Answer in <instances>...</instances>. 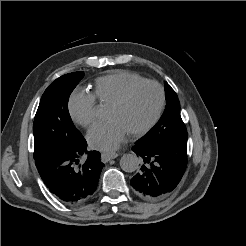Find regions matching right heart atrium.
<instances>
[{
	"label": "right heart atrium",
	"instance_id": "obj_1",
	"mask_svg": "<svg viewBox=\"0 0 246 246\" xmlns=\"http://www.w3.org/2000/svg\"><path fill=\"white\" fill-rule=\"evenodd\" d=\"M71 119L82 127L91 126L96 119V99L91 93L75 90L68 99Z\"/></svg>",
	"mask_w": 246,
	"mask_h": 246
}]
</instances>
